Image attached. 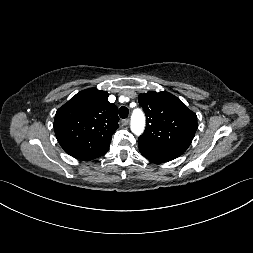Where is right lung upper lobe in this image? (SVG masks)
<instances>
[{"mask_svg": "<svg viewBox=\"0 0 253 253\" xmlns=\"http://www.w3.org/2000/svg\"><path fill=\"white\" fill-rule=\"evenodd\" d=\"M105 91L89 88L77 93L55 115L56 138L64 151L81 159L109 147L118 128V108Z\"/></svg>", "mask_w": 253, "mask_h": 253, "instance_id": "1", "label": "right lung upper lobe"}]
</instances>
